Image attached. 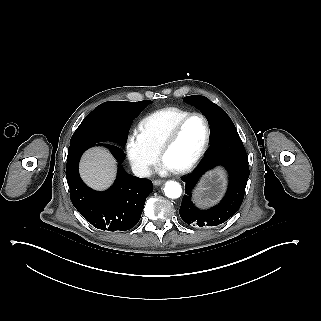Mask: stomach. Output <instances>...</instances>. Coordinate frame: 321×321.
I'll return each instance as SVG.
<instances>
[{
    "mask_svg": "<svg viewBox=\"0 0 321 321\" xmlns=\"http://www.w3.org/2000/svg\"><path fill=\"white\" fill-rule=\"evenodd\" d=\"M221 183L222 182L220 176L210 177L209 181L203 187L202 191L198 193L199 198L204 201H210L214 199L220 192Z\"/></svg>",
    "mask_w": 321,
    "mask_h": 321,
    "instance_id": "stomach-1",
    "label": "stomach"
}]
</instances>
